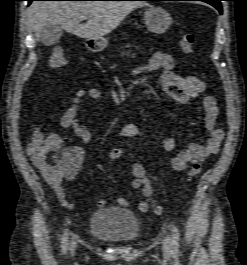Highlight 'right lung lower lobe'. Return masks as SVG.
Here are the masks:
<instances>
[{"label":"right lung lower lobe","mask_w":247,"mask_h":265,"mask_svg":"<svg viewBox=\"0 0 247 265\" xmlns=\"http://www.w3.org/2000/svg\"><path fill=\"white\" fill-rule=\"evenodd\" d=\"M28 1V3L30 4L32 1H35V0H27Z\"/></svg>","instance_id":"98d812e1"}]
</instances>
